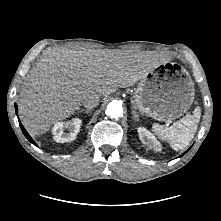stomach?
<instances>
[{
    "mask_svg": "<svg viewBox=\"0 0 221 221\" xmlns=\"http://www.w3.org/2000/svg\"><path fill=\"white\" fill-rule=\"evenodd\" d=\"M161 66L139 80L134 104L142 115L158 121H171L186 113L192 105L194 83L184 70Z\"/></svg>",
    "mask_w": 221,
    "mask_h": 221,
    "instance_id": "1",
    "label": "stomach"
}]
</instances>
